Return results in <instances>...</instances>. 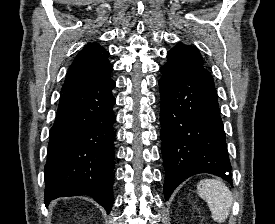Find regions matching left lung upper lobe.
I'll list each match as a JSON object with an SVG mask.
<instances>
[{
    "mask_svg": "<svg viewBox=\"0 0 275 224\" xmlns=\"http://www.w3.org/2000/svg\"><path fill=\"white\" fill-rule=\"evenodd\" d=\"M167 63L163 69L170 75H186L197 73L213 83L211 74L203 67V59L198 50L190 45L178 43L167 53Z\"/></svg>",
    "mask_w": 275,
    "mask_h": 224,
    "instance_id": "5c2ea615",
    "label": "left lung upper lobe"
}]
</instances>
